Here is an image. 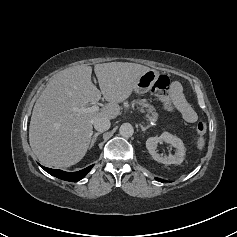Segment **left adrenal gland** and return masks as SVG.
<instances>
[{
	"mask_svg": "<svg viewBox=\"0 0 237 237\" xmlns=\"http://www.w3.org/2000/svg\"><path fill=\"white\" fill-rule=\"evenodd\" d=\"M140 127H141L142 131L144 132V131H146L148 128H150L151 126H150V125H148V126H143L142 124H140Z\"/></svg>",
	"mask_w": 237,
	"mask_h": 237,
	"instance_id": "left-adrenal-gland-1",
	"label": "left adrenal gland"
}]
</instances>
